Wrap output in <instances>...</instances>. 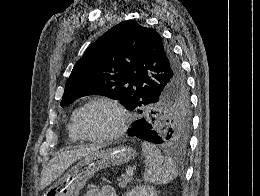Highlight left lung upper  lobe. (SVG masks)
Here are the masks:
<instances>
[{
    "label": "left lung upper lobe",
    "mask_w": 260,
    "mask_h": 196,
    "mask_svg": "<svg viewBox=\"0 0 260 196\" xmlns=\"http://www.w3.org/2000/svg\"><path fill=\"white\" fill-rule=\"evenodd\" d=\"M93 94L135 111L159 134V144L187 148L191 109L186 83L171 47L156 30L127 20L87 48L67 80L60 105Z\"/></svg>",
    "instance_id": "5c2ea615"
}]
</instances>
